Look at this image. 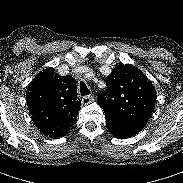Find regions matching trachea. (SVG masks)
<instances>
[{"label": "trachea", "instance_id": "3493384b", "mask_svg": "<svg viewBox=\"0 0 183 183\" xmlns=\"http://www.w3.org/2000/svg\"><path fill=\"white\" fill-rule=\"evenodd\" d=\"M80 92L82 95L90 94V90L87 88L86 84L83 81L80 82Z\"/></svg>", "mask_w": 183, "mask_h": 183}]
</instances>
